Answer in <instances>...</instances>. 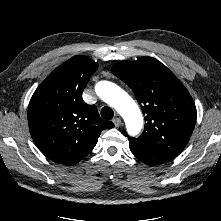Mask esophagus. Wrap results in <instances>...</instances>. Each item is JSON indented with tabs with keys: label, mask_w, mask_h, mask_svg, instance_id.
Segmentation results:
<instances>
[{
	"label": "esophagus",
	"mask_w": 221,
	"mask_h": 221,
	"mask_svg": "<svg viewBox=\"0 0 221 221\" xmlns=\"http://www.w3.org/2000/svg\"><path fill=\"white\" fill-rule=\"evenodd\" d=\"M113 123H114L115 127H119L122 124L121 118L120 117H115L113 119Z\"/></svg>",
	"instance_id": "1"
}]
</instances>
